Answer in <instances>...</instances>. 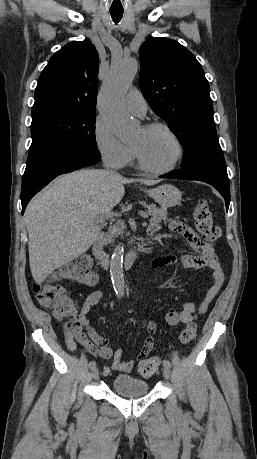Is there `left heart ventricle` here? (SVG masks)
<instances>
[{
	"label": "left heart ventricle",
	"mask_w": 257,
	"mask_h": 459,
	"mask_svg": "<svg viewBox=\"0 0 257 459\" xmlns=\"http://www.w3.org/2000/svg\"><path fill=\"white\" fill-rule=\"evenodd\" d=\"M133 145L140 150L145 161L156 168L168 166L177 154L173 139L161 129L146 131L141 128L133 140Z\"/></svg>",
	"instance_id": "obj_1"
}]
</instances>
